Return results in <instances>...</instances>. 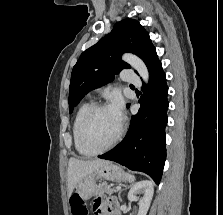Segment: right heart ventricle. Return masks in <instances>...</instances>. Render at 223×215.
<instances>
[{"mask_svg":"<svg viewBox=\"0 0 223 215\" xmlns=\"http://www.w3.org/2000/svg\"><path fill=\"white\" fill-rule=\"evenodd\" d=\"M93 106L92 102H84L81 104V106L78 108L74 120H73V125H72V138H73V144L75 147V150L83 156L90 157L93 154L86 149L80 140V127L82 124V121L84 117L86 116L87 112L90 110V108Z\"/></svg>","mask_w":223,"mask_h":215,"instance_id":"e07e8e85","label":"right heart ventricle"}]
</instances>
